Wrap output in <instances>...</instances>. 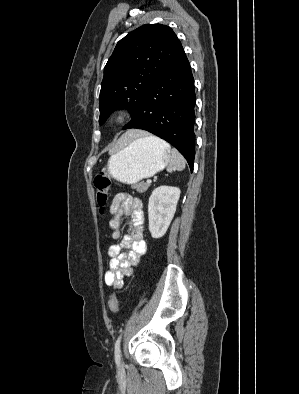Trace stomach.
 I'll list each match as a JSON object with an SVG mask.
<instances>
[{
	"label": "stomach",
	"instance_id": "obj_1",
	"mask_svg": "<svg viewBox=\"0 0 299 394\" xmlns=\"http://www.w3.org/2000/svg\"><path fill=\"white\" fill-rule=\"evenodd\" d=\"M169 161V148L147 137L138 138L110 157L108 172L122 183L136 184L162 170Z\"/></svg>",
	"mask_w": 299,
	"mask_h": 394
}]
</instances>
